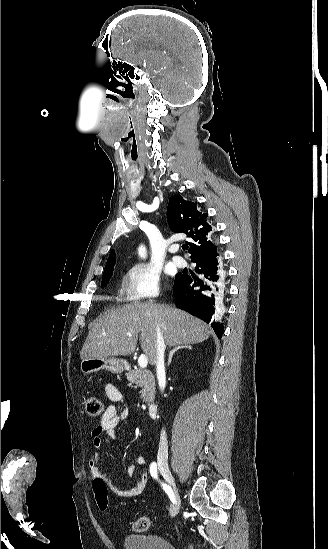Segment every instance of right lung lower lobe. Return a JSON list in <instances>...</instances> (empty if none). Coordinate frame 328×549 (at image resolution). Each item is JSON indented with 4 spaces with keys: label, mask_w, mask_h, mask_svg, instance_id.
Listing matches in <instances>:
<instances>
[{
    "label": "right lung lower lobe",
    "mask_w": 328,
    "mask_h": 549,
    "mask_svg": "<svg viewBox=\"0 0 328 549\" xmlns=\"http://www.w3.org/2000/svg\"><path fill=\"white\" fill-rule=\"evenodd\" d=\"M194 273H182L176 277L173 295L177 307L210 323L218 338L224 333L219 322L217 297L223 287V266L218 254H210L192 260Z\"/></svg>",
    "instance_id": "right-lung-lower-lobe-1"
}]
</instances>
